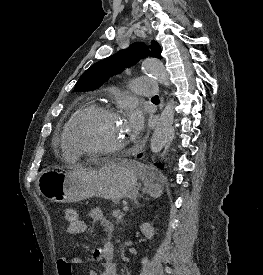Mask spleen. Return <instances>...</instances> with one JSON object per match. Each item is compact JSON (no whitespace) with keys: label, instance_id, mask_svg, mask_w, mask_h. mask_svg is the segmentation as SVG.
Returning <instances> with one entry per match:
<instances>
[{"label":"spleen","instance_id":"3e777b00","mask_svg":"<svg viewBox=\"0 0 263 275\" xmlns=\"http://www.w3.org/2000/svg\"><path fill=\"white\" fill-rule=\"evenodd\" d=\"M131 166L134 168V170L137 172L140 179L144 182V191L149 194L152 198H158L162 194L161 186L157 183H153L148 178V173L146 171V168L141 163H130Z\"/></svg>","mask_w":263,"mask_h":275}]
</instances>
